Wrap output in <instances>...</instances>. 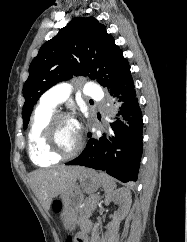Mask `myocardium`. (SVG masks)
<instances>
[{"label": "myocardium", "instance_id": "myocardium-1", "mask_svg": "<svg viewBox=\"0 0 187 242\" xmlns=\"http://www.w3.org/2000/svg\"><path fill=\"white\" fill-rule=\"evenodd\" d=\"M68 120L73 123H75L74 118L66 112H56L54 113L50 119L48 120L44 131H43V145L46 150V152L54 157H57L59 159H69L74 156H76L83 147V137L81 133L78 131V142L75 148L69 152H62L58 150L54 145V131L57 126V124L60 121Z\"/></svg>", "mask_w": 187, "mask_h": 242}]
</instances>
